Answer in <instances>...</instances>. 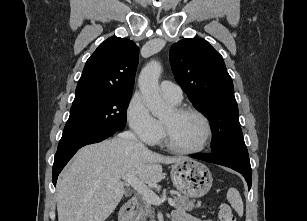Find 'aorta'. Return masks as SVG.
<instances>
[{"label":"aorta","mask_w":307,"mask_h":221,"mask_svg":"<svg viewBox=\"0 0 307 221\" xmlns=\"http://www.w3.org/2000/svg\"><path fill=\"white\" fill-rule=\"evenodd\" d=\"M162 66L158 61L152 60L141 70L138 86L147 107L155 117L166 114L170 107L161 98L159 92V77Z\"/></svg>","instance_id":"aorta-1"}]
</instances>
